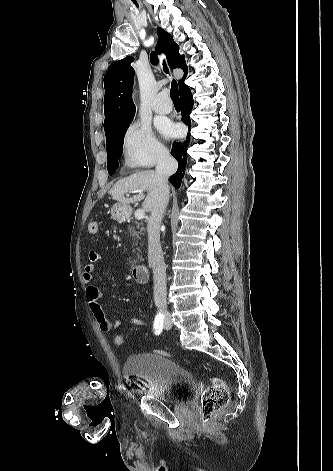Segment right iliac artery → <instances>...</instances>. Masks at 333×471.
<instances>
[{
    "instance_id": "obj_1",
    "label": "right iliac artery",
    "mask_w": 333,
    "mask_h": 471,
    "mask_svg": "<svg viewBox=\"0 0 333 471\" xmlns=\"http://www.w3.org/2000/svg\"><path fill=\"white\" fill-rule=\"evenodd\" d=\"M163 323H164V315L159 313L156 315L153 328H154V333L156 335H159L162 330H163Z\"/></svg>"
}]
</instances>
